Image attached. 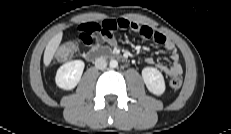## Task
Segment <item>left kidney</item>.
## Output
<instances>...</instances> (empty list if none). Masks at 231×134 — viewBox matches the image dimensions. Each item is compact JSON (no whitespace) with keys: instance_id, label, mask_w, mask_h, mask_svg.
Wrapping results in <instances>:
<instances>
[{"instance_id":"obj_1","label":"left kidney","mask_w":231,"mask_h":134,"mask_svg":"<svg viewBox=\"0 0 231 134\" xmlns=\"http://www.w3.org/2000/svg\"><path fill=\"white\" fill-rule=\"evenodd\" d=\"M142 78L147 89L154 95L160 96L165 92V81L162 73L153 67L142 70Z\"/></svg>"}]
</instances>
